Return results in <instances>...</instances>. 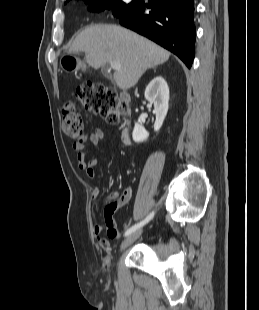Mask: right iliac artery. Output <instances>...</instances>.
<instances>
[{
  "mask_svg": "<svg viewBox=\"0 0 259 310\" xmlns=\"http://www.w3.org/2000/svg\"><path fill=\"white\" fill-rule=\"evenodd\" d=\"M154 215V212L150 213L143 221L133 225L131 228H129L126 232H125V236L130 235L131 233H133L134 231H136L137 229H139L140 227H142L143 225H145L148 221H150L152 219Z\"/></svg>",
  "mask_w": 259,
  "mask_h": 310,
  "instance_id": "82829eb1",
  "label": "right iliac artery"
}]
</instances>
